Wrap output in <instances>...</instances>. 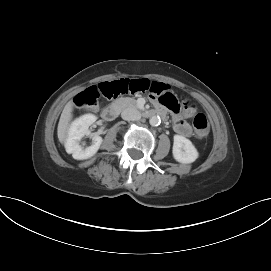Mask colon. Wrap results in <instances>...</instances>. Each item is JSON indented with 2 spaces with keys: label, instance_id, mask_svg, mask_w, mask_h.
Returning <instances> with one entry per match:
<instances>
[{
  "label": "colon",
  "instance_id": "1",
  "mask_svg": "<svg viewBox=\"0 0 271 271\" xmlns=\"http://www.w3.org/2000/svg\"><path fill=\"white\" fill-rule=\"evenodd\" d=\"M155 82H150L147 79H119L111 82H103L96 86H91L76 95L74 103L77 107L88 108L98 105L102 96L112 98L124 94H142L150 93V87L154 86ZM162 105L178 113L181 106L176 97L164 89L163 95H152ZM189 108V107H186ZM193 127L196 137L202 139L209 133V124L206 116L198 113L193 118Z\"/></svg>",
  "mask_w": 271,
  "mask_h": 271
}]
</instances>
